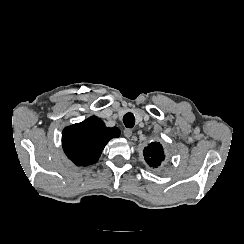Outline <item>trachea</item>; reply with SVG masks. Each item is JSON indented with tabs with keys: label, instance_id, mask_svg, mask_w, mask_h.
<instances>
[{
	"label": "trachea",
	"instance_id": "1",
	"mask_svg": "<svg viewBox=\"0 0 244 244\" xmlns=\"http://www.w3.org/2000/svg\"><path fill=\"white\" fill-rule=\"evenodd\" d=\"M124 125L127 128H132L135 125V117L132 113L128 112L123 117Z\"/></svg>",
	"mask_w": 244,
	"mask_h": 244
}]
</instances>
